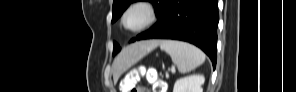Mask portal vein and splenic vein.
Listing matches in <instances>:
<instances>
[{"mask_svg":"<svg viewBox=\"0 0 296 92\" xmlns=\"http://www.w3.org/2000/svg\"><path fill=\"white\" fill-rule=\"evenodd\" d=\"M175 71H176V70H175V67H172L171 72H172V73H175Z\"/></svg>","mask_w":296,"mask_h":92,"instance_id":"18ae733b","label":"portal vein and splenic vein"}]
</instances>
